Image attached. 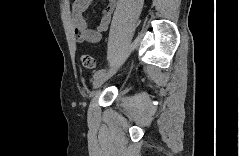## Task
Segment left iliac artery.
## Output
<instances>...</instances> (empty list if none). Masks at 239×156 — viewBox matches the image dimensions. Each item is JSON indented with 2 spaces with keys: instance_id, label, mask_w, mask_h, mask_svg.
Returning <instances> with one entry per match:
<instances>
[{
  "instance_id": "1",
  "label": "left iliac artery",
  "mask_w": 239,
  "mask_h": 156,
  "mask_svg": "<svg viewBox=\"0 0 239 156\" xmlns=\"http://www.w3.org/2000/svg\"><path fill=\"white\" fill-rule=\"evenodd\" d=\"M105 72V69H99L97 70L94 75L93 78L95 79L96 77H98L99 75L103 74Z\"/></svg>"
}]
</instances>
